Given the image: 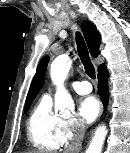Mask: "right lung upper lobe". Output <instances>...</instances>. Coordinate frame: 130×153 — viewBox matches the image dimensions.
Segmentation results:
<instances>
[{"label":"right lung upper lobe","instance_id":"obj_1","mask_svg":"<svg viewBox=\"0 0 130 153\" xmlns=\"http://www.w3.org/2000/svg\"><path fill=\"white\" fill-rule=\"evenodd\" d=\"M82 32L84 34L85 40L87 42L89 51L93 57H97L100 53L99 47L101 43L100 33L97 31L96 26L90 21H83L81 25ZM49 62V57L45 56L39 63L36 74L33 78L32 84L30 86L26 103L31 102L35 99L37 93L41 90L44 80L47 64ZM104 66L101 64L98 70Z\"/></svg>","mask_w":130,"mask_h":153}]
</instances>
